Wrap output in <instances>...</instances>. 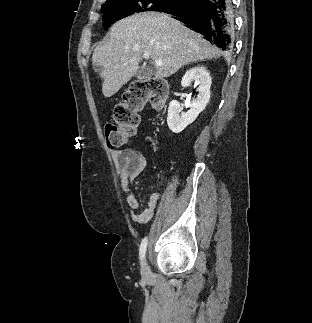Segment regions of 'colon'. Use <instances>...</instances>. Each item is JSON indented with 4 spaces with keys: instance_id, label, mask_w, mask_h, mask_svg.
Segmentation results:
<instances>
[{
    "instance_id": "colon-1",
    "label": "colon",
    "mask_w": 312,
    "mask_h": 323,
    "mask_svg": "<svg viewBox=\"0 0 312 323\" xmlns=\"http://www.w3.org/2000/svg\"><path fill=\"white\" fill-rule=\"evenodd\" d=\"M168 97L166 81L161 77L136 78L111 111V123L105 126V141L111 148L126 145L134 136L140 111L146 104L161 107Z\"/></svg>"
}]
</instances>
